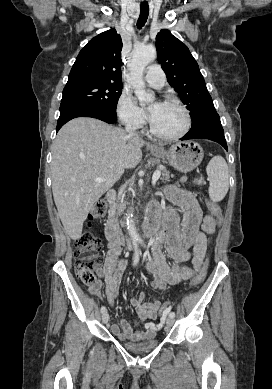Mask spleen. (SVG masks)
Here are the masks:
<instances>
[{"instance_id":"spleen-1","label":"spleen","mask_w":272,"mask_h":389,"mask_svg":"<svg viewBox=\"0 0 272 389\" xmlns=\"http://www.w3.org/2000/svg\"><path fill=\"white\" fill-rule=\"evenodd\" d=\"M209 179V196L213 202L221 201L229 189V172L225 159L213 157L206 167Z\"/></svg>"}]
</instances>
